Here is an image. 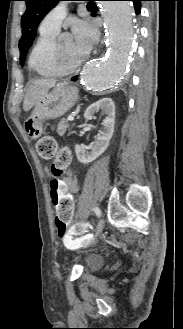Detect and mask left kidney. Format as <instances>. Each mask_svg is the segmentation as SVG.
<instances>
[{"mask_svg": "<svg viewBox=\"0 0 183 329\" xmlns=\"http://www.w3.org/2000/svg\"><path fill=\"white\" fill-rule=\"evenodd\" d=\"M102 109L106 114L103 120V131H100L91 145V152L86 151L82 146L76 145L75 152L78 161L88 164L98 158L108 147L109 140L114 133L115 124V104L111 98H103L91 104L85 111L84 117L86 120H91L93 115Z\"/></svg>", "mask_w": 183, "mask_h": 329, "instance_id": "left-kidney-1", "label": "left kidney"}]
</instances>
